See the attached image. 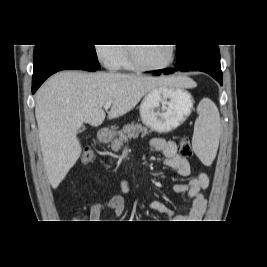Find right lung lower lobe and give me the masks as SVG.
<instances>
[{
  "label": "right lung lower lobe",
  "instance_id": "right-lung-lower-lobe-1",
  "mask_svg": "<svg viewBox=\"0 0 267 267\" xmlns=\"http://www.w3.org/2000/svg\"><path fill=\"white\" fill-rule=\"evenodd\" d=\"M32 93L52 74L69 69L96 71L98 67L58 45H36Z\"/></svg>",
  "mask_w": 267,
  "mask_h": 267
}]
</instances>
